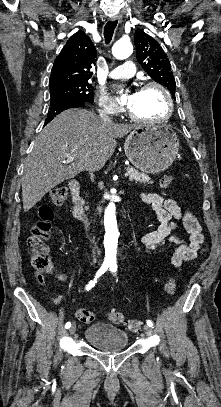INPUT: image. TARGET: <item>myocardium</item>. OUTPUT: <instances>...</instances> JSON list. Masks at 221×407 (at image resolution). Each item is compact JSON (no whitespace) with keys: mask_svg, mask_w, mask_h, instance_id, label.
Returning a JSON list of instances; mask_svg holds the SVG:
<instances>
[{"mask_svg":"<svg viewBox=\"0 0 221 407\" xmlns=\"http://www.w3.org/2000/svg\"><path fill=\"white\" fill-rule=\"evenodd\" d=\"M150 88H157L164 94V96L166 98L167 107H166V113L163 117L158 118V119H144V118L137 116L129 107H127L126 110L129 114V116L137 123H141V124L164 123L169 120V118L171 117L173 110H174V102H173L172 94L164 85L157 83V82H147V83L141 85L140 90L144 91V90H148Z\"/></svg>","mask_w":221,"mask_h":407,"instance_id":"obj_1","label":"myocardium"}]
</instances>
